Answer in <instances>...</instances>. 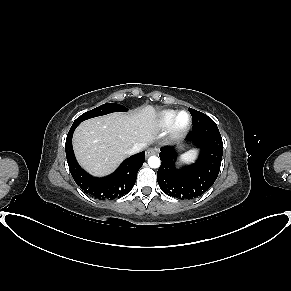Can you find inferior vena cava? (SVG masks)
<instances>
[{"label": "inferior vena cava", "instance_id": "602c4592", "mask_svg": "<svg viewBox=\"0 0 291 291\" xmlns=\"http://www.w3.org/2000/svg\"><path fill=\"white\" fill-rule=\"evenodd\" d=\"M145 147H146V144L145 143L135 144L132 148H130L128 150V154L129 155H132V154L138 153V152L142 151L143 148H145Z\"/></svg>", "mask_w": 291, "mask_h": 291}]
</instances>
